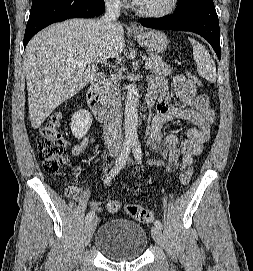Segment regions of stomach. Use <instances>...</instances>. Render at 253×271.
<instances>
[{"label":"stomach","mask_w":253,"mask_h":271,"mask_svg":"<svg viewBox=\"0 0 253 271\" xmlns=\"http://www.w3.org/2000/svg\"><path fill=\"white\" fill-rule=\"evenodd\" d=\"M134 38L140 45L154 54L164 52L169 43L167 36L159 30H142L139 33H134Z\"/></svg>","instance_id":"0dacf381"}]
</instances>
